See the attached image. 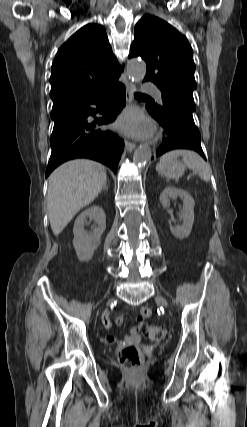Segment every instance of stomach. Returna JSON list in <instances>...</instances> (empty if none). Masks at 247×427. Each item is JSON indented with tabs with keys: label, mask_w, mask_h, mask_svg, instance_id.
I'll return each instance as SVG.
<instances>
[{
	"label": "stomach",
	"mask_w": 247,
	"mask_h": 427,
	"mask_svg": "<svg viewBox=\"0 0 247 427\" xmlns=\"http://www.w3.org/2000/svg\"><path fill=\"white\" fill-rule=\"evenodd\" d=\"M160 174H163L168 179L179 178L185 170V166L177 159L171 160L157 167Z\"/></svg>",
	"instance_id": "1"
}]
</instances>
